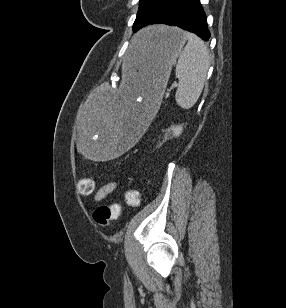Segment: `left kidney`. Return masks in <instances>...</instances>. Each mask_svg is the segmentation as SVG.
<instances>
[{
    "instance_id": "obj_1",
    "label": "left kidney",
    "mask_w": 286,
    "mask_h": 308,
    "mask_svg": "<svg viewBox=\"0 0 286 308\" xmlns=\"http://www.w3.org/2000/svg\"><path fill=\"white\" fill-rule=\"evenodd\" d=\"M169 131L172 132L174 137H178L183 131V126L182 125L171 126L169 128Z\"/></svg>"
}]
</instances>
